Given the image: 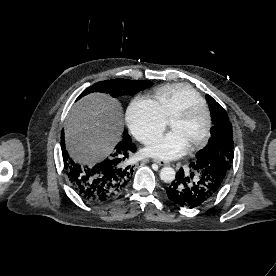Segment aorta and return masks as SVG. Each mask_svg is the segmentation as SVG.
I'll list each match as a JSON object with an SVG mask.
<instances>
[{"instance_id":"aorta-1","label":"aorta","mask_w":276,"mask_h":276,"mask_svg":"<svg viewBox=\"0 0 276 276\" xmlns=\"http://www.w3.org/2000/svg\"><path fill=\"white\" fill-rule=\"evenodd\" d=\"M175 170L172 167H163L160 170V178L165 183H170L175 180Z\"/></svg>"}]
</instances>
